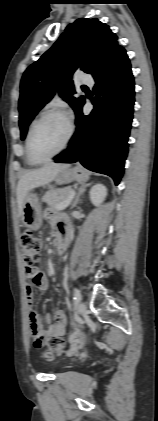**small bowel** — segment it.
<instances>
[{"label":"small bowel","mask_w":158,"mask_h":421,"mask_svg":"<svg viewBox=\"0 0 158 421\" xmlns=\"http://www.w3.org/2000/svg\"><path fill=\"white\" fill-rule=\"evenodd\" d=\"M46 218L49 220L54 232L59 237L69 233L70 224L68 218L63 214L46 212ZM26 278L30 281L26 288V299L30 307L29 310V327L36 348L43 346L44 341L51 336H59L64 334L66 325V315L62 310H55L53 314V321L50 322V317H45L47 322H50L46 329L43 328L38 313L33 309L34 292L33 288L45 291L48 288V279L46 275L38 268H27L25 266ZM39 341V345L36 342ZM73 344H76L78 339L74 334L71 337Z\"/></svg>","instance_id":"obj_1"}]
</instances>
